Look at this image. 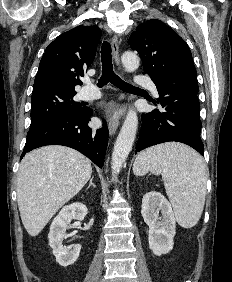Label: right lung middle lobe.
Instances as JSON below:
<instances>
[{
    "mask_svg": "<svg viewBox=\"0 0 232 282\" xmlns=\"http://www.w3.org/2000/svg\"><path fill=\"white\" fill-rule=\"evenodd\" d=\"M76 91L49 89L36 91L31 97V125L39 126L60 114H79L86 110L80 103L73 101Z\"/></svg>",
    "mask_w": 232,
    "mask_h": 282,
    "instance_id": "right-lung-middle-lobe-1",
    "label": "right lung middle lobe"
}]
</instances>
